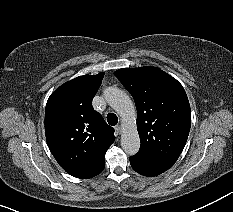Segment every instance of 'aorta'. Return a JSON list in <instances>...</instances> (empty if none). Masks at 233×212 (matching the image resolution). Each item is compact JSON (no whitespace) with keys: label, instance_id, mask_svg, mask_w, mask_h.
Masks as SVG:
<instances>
[{"label":"aorta","instance_id":"762f6f07","mask_svg":"<svg viewBox=\"0 0 233 212\" xmlns=\"http://www.w3.org/2000/svg\"><path fill=\"white\" fill-rule=\"evenodd\" d=\"M104 97L109 105L122 117V149L128 155L136 154L140 148V138L136 128L137 113L132 100L124 91L116 87L106 88Z\"/></svg>","mask_w":233,"mask_h":212}]
</instances>
